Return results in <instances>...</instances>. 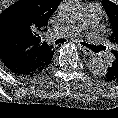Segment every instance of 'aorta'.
<instances>
[{"instance_id": "obj_1", "label": "aorta", "mask_w": 118, "mask_h": 118, "mask_svg": "<svg viewBox=\"0 0 118 118\" xmlns=\"http://www.w3.org/2000/svg\"><path fill=\"white\" fill-rule=\"evenodd\" d=\"M60 16L68 22H75L81 18L82 10L76 0H66L59 9ZM88 68L91 73L102 75L107 70V65L101 58L94 57L89 60Z\"/></svg>"}]
</instances>
